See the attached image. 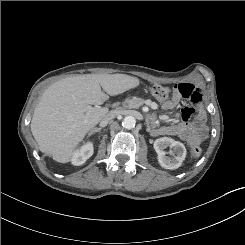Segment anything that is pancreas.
Listing matches in <instances>:
<instances>
[{"instance_id": "cf45deb5", "label": "pancreas", "mask_w": 245, "mask_h": 245, "mask_svg": "<svg viewBox=\"0 0 245 245\" xmlns=\"http://www.w3.org/2000/svg\"><path fill=\"white\" fill-rule=\"evenodd\" d=\"M124 108H139L141 105L144 104V99L142 98H132V99H126L124 102L121 103Z\"/></svg>"}]
</instances>
